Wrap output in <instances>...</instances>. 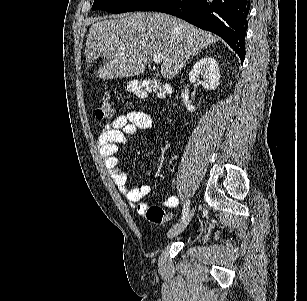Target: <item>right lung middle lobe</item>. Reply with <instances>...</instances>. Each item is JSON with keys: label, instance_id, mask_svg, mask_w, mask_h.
I'll return each instance as SVG.
<instances>
[{"label": "right lung middle lobe", "instance_id": "right-lung-middle-lobe-1", "mask_svg": "<svg viewBox=\"0 0 307 301\" xmlns=\"http://www.w3.org/2000/svg\"><path fill=\"white\" fill-rule=\"evenodd\" d=\"M153 0H94L92 10H106L113 14L140 11Z\"/></svg>", "mask_w": 307, "mask_h": 301}]
</instances>
